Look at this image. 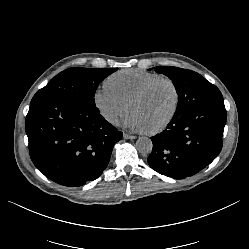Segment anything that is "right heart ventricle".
Instances as JSON below:
<instances>
[{"label": "right heart ventricle", "mask_w": 249, "mask_h": 249, "mask_svg": "<svg viewBox=\"0 0 249 249\" xmlns=\"http://www.w3.org/2000/svg\"><path fill=\"white\" fill-rule=\"evenodd\" d=\"M160 76L159 73L143 69H124L109 75L105 80V86L128 102L130 97L144 84Z\"/></svg>", "instance_id": "right-heart-ventricle-1"}]
</instances>
